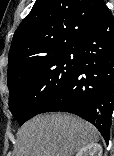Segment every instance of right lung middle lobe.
Returning a JSON list of instances; mask_svg holds the SVG:
<instances>
[{
  "instance_id": "dd1d6c3e",
  "label": "right lung middle lobe",
  "mask_w": 114,
  "mask_h": 156,
  "mask_svg": "<svg viewBox=\"0 0 114 156\" xmlns=\"http://www.w3.org/2000/svg\"><path fill=\"white\" fill-rule=\"evenodd\" d=\"M77 48L48 58L17 76L9 87V107L20 125L41 113L65 89L79 66Z\"/></svg>"
}]
</instances>
